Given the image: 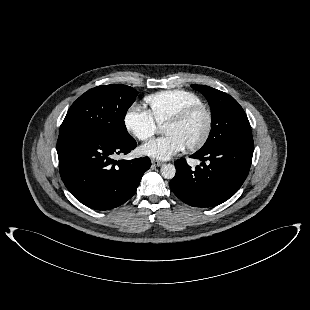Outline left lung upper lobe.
<instances>
[{"mask_svg": "<svg viewBox=\"0 0 310 310\" xmlns=\"http://www.w3.org/2000/svg\"><path fill=\"white\" fill-rule=\"evenodd\" d=\"M192 87L207 98L211 108L212 129L200 152L236 139L251 137L247 115L232 96L204 85Z\"/></svg>", "mask_w": 310, "mask_h": 310, "instance_id": "5c2ea615", "label": "left lung upper lobe"}]
</instances>
